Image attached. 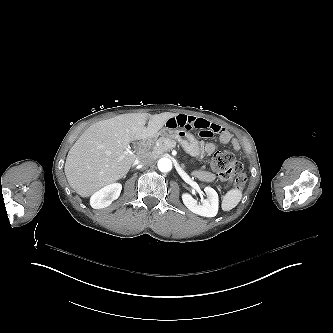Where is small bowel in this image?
<instances>
[{
    "instance_id": "small-bowel-1",
    "label": "small bowel",
    "mask_w": 333,
    "mask_h": 333,
    "mask_svg": "<svg viewBox=\"0 0 333 333\" xmlns=\"http://www.w3.org/2000/svg\"><path fill=\"white\" fill-rule=\"evenodd\" d=\"M168 129L185 128L196 130V133L200 137H211L219 134L221 143L231 144L235 153H238L241 149L239 141L228 131L222 129L218 124L212 123L200 117L186 114H178L171 117L167 121ZM216 149L215 144L208 143L205 145L204 150L206 153H212ZM195 176L203 181H211L213 176L207 172L197 171Z\"/></svg>"
}]
</instances>
